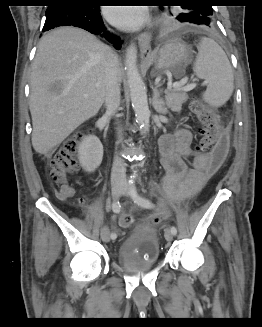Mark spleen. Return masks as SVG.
Listing matches in <instances>:
<instances>
[{
  "mask_svg": "<svg viewBox=\"0 0 262 327\" xmlns=\"http://www.w3.org/2000/svg\"><path fill=\"white\" fill-rule=\"evenodd\" d=\"M194 71L207 83L203 94L205 102L220 107L229 100L234 89L233 72L225 52L214 40L201 39Z\"/></svg>",
  "mask_w": 262,
  "mask_h": 327,
  "instance_id": "3e777b00",
  "label": "spleen"
}]
</instances>
